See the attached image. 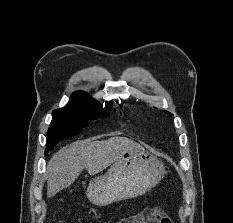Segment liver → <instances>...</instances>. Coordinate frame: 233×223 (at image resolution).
<instances>
[{"label": "liver", "instance_id": "6515ba94", "mask_svg": "<svg viewBox=\"0 0 233 223\" xmlns=\"http://www.w3.org/2000/svg\"><path fill=\"white\" fill-rule=\"evenodd\" d=\"M133 147H139V143L129 137H109L103 141L82 139L61 147L47 165V197L72 185L83 169L96 175Z\"/></svg>", "mask_w": 233, "mask_h": 223}]
</instances>
